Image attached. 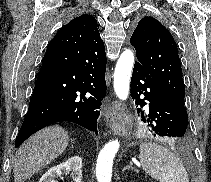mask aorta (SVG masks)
I'll return each mask as SVG.
<instances>
[{
  "label": "aorta",
  "mask_w": 211,
  "mask_h": 182,
  "mask_svg": "<svg viewBox=\"0 0 211 182\" xmlns=\"http://www.w3.org/2000/svg\"><path fill=\"white\" fill-rule=\"evenodd\" d=\"M133 65V52L130 49H125L117 61L114 72V90L120 100L128 98ZM119 147V141L113 140L105 144L100 151L96 165L98 182H111L113 160Z\"/></svg>",
  "instance_id": "1"
}]
</instances>
